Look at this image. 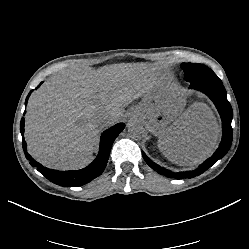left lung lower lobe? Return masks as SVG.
<instances>
[{
    "label": "left lung lower lobe",
    "mask_w": 249,
    "mask_h": 249,
    "mask_svg": "<svg viewBox=\"0 0 249 249\" xmlns=\"http://www.w3.org/2000/svg\"><path fill=\"white\" fill-rule=\"evenodd\" d=\"M190 88L203 92L215 104L222 119V132H223L222 141L219 145V148L210 158H208L195 170L187 172L175 173L168 169L162 168L156 163H154L151 159H149L144 152L142 153L144 160L153 170L157 171L159 174H164L169 178H176V179L193 178L202 174L208 168L214 165L219 159L225 156L232 143L233 133H232L231 121L233 118V111L229 101L227 100L226 90L222 84V81L209 80V81L198 82L190 85Z\"/></svg>",
    "instance_id": "0a47b994"
}]
</instances>
